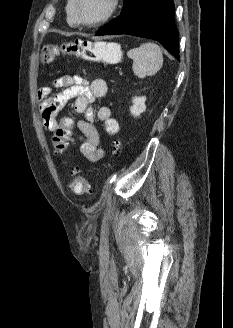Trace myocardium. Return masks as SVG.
Wrapping results in <instances>:
<instances>
[{
    "label": "myocardium",
    "instance_id": "myocardium-1",
    "mask_svg": "<svg viewBox=\"0 0 233 328\" xmlns=\"http://www.w3.org/2000/svg\"><path fill=\"white\" fill-rule=\"evenodd\" d=\"M79 3H80V0H74L73 7H74L75 18H76L77 24L86 26V27H97V26H100V25L106 23L114 16V14L116 13V11L119 7V0H110L109 8L103 17H101L100 19H98L97 21H94V22H87V21H84L80 16Z\"/></svg>",
    "mask_w": 233,
    "mask_h": 328
}]
</instances>
